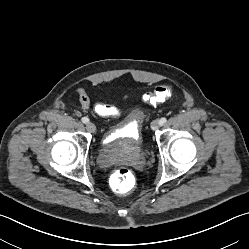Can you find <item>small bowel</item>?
<instances>
[{
	"label": "small bowel",
	"mask_w": 249,
	"mask_h": 249,
	"mask_svg": "<svg viewBox=\"0 0 249 249\" xmlns=\"http://www.w3.org/2000/svg\"><path fill=\"white\" fill-rule=\"evenodd\" d=\"M74 91L79 98L81 109L84 111L90 109L92 105L86 90L78 87ZM93 109L96 114L102 117H115L119 114V110L116 107L103 103L94 104Z\"/></svg>",
	"instance_id": "small-bowel-1"
}]
</instances>
